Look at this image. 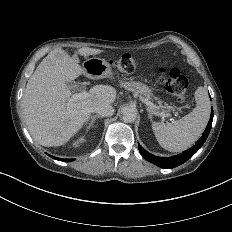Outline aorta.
I'll use <instances>...</instances> for the list:
<instances>
[{
    "instance_id": "762f6f07",
    "label": "aorta",
    "mask_w": 232,
    "mask_h": 232,
    "mask_svg": "<svg viewBox=\"0 0 232 232\" xmlns=\"http://www.w3.org/2000/svg\"><path fill=\"white\" fill-rule=\"evenodd\" d=\"M121 112L124 122H134L137 118V111L133 107H123Z\"/></svg>"
}]
</instances>
